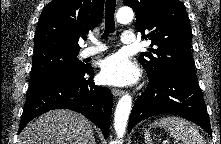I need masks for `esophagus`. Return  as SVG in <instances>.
Wrapping results in <instances>:
<instances>
[{"label": "esophagus", "instance_id": "1", "mask_svg": "<svg viewBox=\"0 0 221 144\" xmlns=\"http://www.w3.org/2000/svg\"><path fill=\"white\" fill-rule=\"evenodd\" d=\"M112 93L115 97H118V96H121L123 94V91L120 90V89H116V88H113L112 89Z\"/></svg>", "mask_w": 221, "mask_h": 144}]
</instances>
